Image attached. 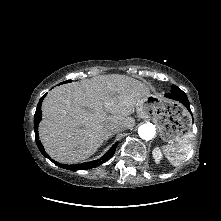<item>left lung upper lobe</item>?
<instances>
[{
  "instance_id": "1",
  "label": "left lung upper lobe",
  "mask_w": 221,
  "mask_h": 221,
  "mask_svg": "<svg viewBox=\"0 0 221 221\" xmlns=\"http://www.w3.org/2000/svg\"><path fill=\"white\" fill-rule=\"evenodd\" d=\"M178 89H179V88H178L177 86L173 85L172 88H171V91H173V90H178Z\"/></svg>"
}]
</instances>
